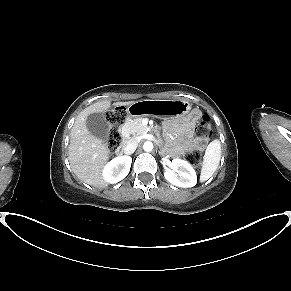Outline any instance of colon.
<instances>
[{
	"mask_svg": "<svg viewBox=\"0 0 291 291\" xmlns=\"http://www.w3.org/2000/svg\"><path fill=\"white\" fill-rule=\"evenodd\" d=\"M128 111L125 107H116L111 109L106 116L110 129L107 134V148L110 151H116V148L122 143V136L119 127L126 122ZM211 134V121L206 115L202 116L194 128L195 138L203 142ZM186 159L194 166H199L202 155L199 150H191L186 154Z\"/></svg>",
	"mask_w": 291,
	"mask_h": 291,
	"instance_id": "5ec220e1",
	"label": "colon"
}]
</instances>
